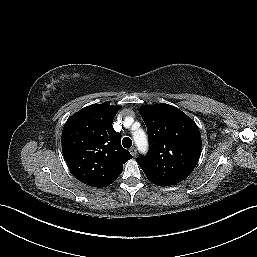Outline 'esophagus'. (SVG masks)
<instances>
[{
	"label": "esophagus",
	"mask_w": 257,
	"mask_h": 257,
	"mask_svg": "<svg viewBox=\"0 0 257 257\" xmlns=\"http://www.w3.org/2000/svg\"><path fill=\"white\" fill-rule=\"evenodd\" d=\"M129 151H130V153H131L132 156H136L137 150H136L135 147H131Z\"/></svg>",
	"instance_id": "obj_1"
}]
</instances>
